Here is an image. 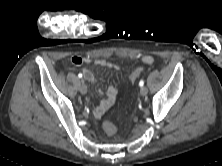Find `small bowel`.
I'll list each match as a JSON object with an SVG mask.
<instances>
[{"mask_svg":"<svg viewBox=\"0 0 222 166\" xmlns=\"http://www.w3.org/2000/svg\"><path fill=\"white\" fill-rule=\"evenodd\" d=\"M141 61L145 64H151L154 61L152 56L146 55L141 58ZM93 62L95 65L108 67L109 69L118 70L119 66L115 63L108 62L103 59H96L92 61L90 58H85L81 56H73L71 58V63L76 66H81L83 64ZM82 73L84 78L89 82L94 84L96 82L95 75L89 69L83 68ZM118 93V88L116 86H110L106 91V98L99 103L95 104L93 112L97 118H100L114 103Z\"/></svg>","mask_w":222,"mask_h":166,"instance_id":"obj_1","label":"small bowel"}]
</instances>
